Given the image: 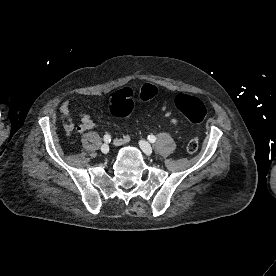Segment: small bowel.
Returning <instances> with one entry per match:
<instances>
[{
    "instance_id": "c3829d8e",
    "label": "small bowel",
    "mask_w": 276,
    "mask_h": 276,
    "mask_svg": "<svg viewBox=\"0 0 276 276\" xmlns=\"http://www.w3.org/2000/svg\"><path fill=\"white\" fill-rule=\"evenodd\" d=\"M101 101H103V98L101 97H73L71 99L65 100L60 106L61 118L63 120L65 129L70 131L74 128L73 121L70 117V107L73 102L93 103V102H101ZM159 114L161 115L162 118L169 120L172 124L178 123L177 118L173 116L172 110L167 100H164L162 102ZM79 116H80L81 122L76 127V130L79 133H83L85 131H88L94 128L95 122L88 113L80 111ZM129 141H130V135L125 134L122 137L115 140V145L122 146L127 144Z\"/></svg>"
}]
</instances>
